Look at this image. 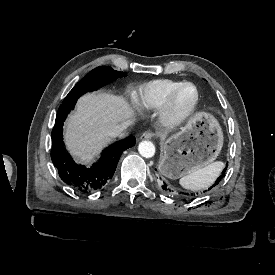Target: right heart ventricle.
Wrapping results in <instances>:
<instances>
[{"mask_svg": "<svg viewBox=\"0 0 275 275\" xmlns=\"http://www.w3.org/2000/svg\"><path fill=\"white\" fill-rule=\"evenodd\" d=\"M178 82L160 79L146 84L134 97L135 103L143 109L161 108Z\"/></svg>", "mask_w": 275, "mask_h": 275, "instance_id": "1", "label": "right heart ventricle"}]
</instances>
